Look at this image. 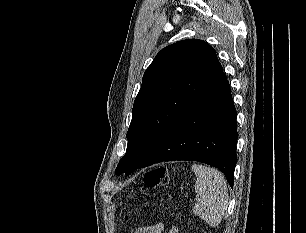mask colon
Wrapping results in <instances>:
<instances>
[{
  "label": "colon",
  "instance_id": "1",
  "mask_svg": "<svg viewBox=\"0 0 306 233\" xmlns=\"http://www.w3.org/2000/svg\"><path fill=\"white\" fill-rule=\"evenodd\" d=\"M168 172L166 167H157L148 171L143 179V190L155 189L166 183Z\"/></svg>",
  "mask_w": 306,
  "mask_h": 233
}]
</instances>
